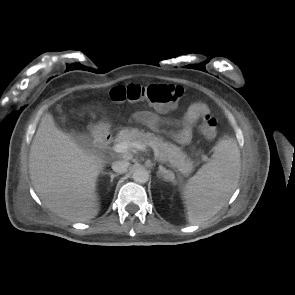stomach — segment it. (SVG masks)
I'll use <instances>...</instances> for the list:
<instances>
[{"instance_id":"0dacf381","label":"stomach","mask_w":295,"mask_h":295,"mask_svg":"<svg viewBox=\"0 0 295 295\" xmlns=\"http://www.w3.org/2000/svg\"><path fill=\"white\" fill-rule=\"evenodd\" d=\"M98 129H99L100 131H102V132H104V131H108V129H109V124H107V123H101V124L98 125Z\"/></svg>"}]
</instances>
